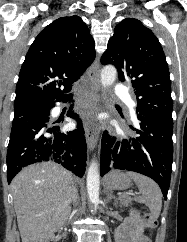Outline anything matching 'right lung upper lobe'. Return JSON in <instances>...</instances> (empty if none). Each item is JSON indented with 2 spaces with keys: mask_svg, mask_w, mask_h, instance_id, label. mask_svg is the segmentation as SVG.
<instances>
[{
  "mask_svg": "<svg viewBox=\"0 0 187 242\" xmlns=\"http://www.w3.org/2000/svg\"><path fill=\"white\" fill-rule=\"evenodd\" d=\"M95 59L94 40L79 16L62 17L36 37L16 86L15 107L49 105L68 97Z\"/></svg>",
  "mask_w": 187,
  "mask_h": 242,
  "instance_id": "1",
  "label": "right lung upper lobe"
}]
</instances>
